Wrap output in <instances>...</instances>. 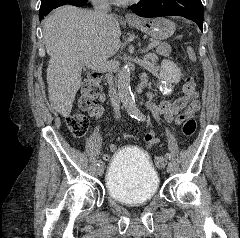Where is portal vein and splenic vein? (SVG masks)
Listing matches in <instances>:
<instances>
[{"label":"portal vein and splenic vein","instance_id":"1","mask_svg":"<svg viewBox=\"0 0 240 238\" xmlns=\"http://www.w3.org/2000/svg\"><path fill=\"white\" fill-rule=\"evenodd\" d=\"M157 45L156 42H151L147 49H152ZM81 62L83 65L90 67V68H100V69H105V68H110L111 66L115 65L116 62H105V61H101V62H88L84 59H81Z\"/></svg>","mask_w":240,"mask_h":238}]
</instances>
